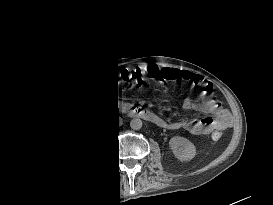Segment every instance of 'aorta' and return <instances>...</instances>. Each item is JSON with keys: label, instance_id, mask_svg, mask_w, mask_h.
<instances>
[{"label": "aorta", "instance_id": "obj_1", "mask_svg": "<svg viewBox=\"0 0 273 205\" xmlns=\"http://www.w3.org/2000/svg\"><path fill=\"white\" fill-rule=\"evenodd\" d=\"M130 127L133 130H139L142 127V120L139 118H134L130 121Z\"/></svg>", "mask_w": 273, "mask_h": 205}]
</instances>
